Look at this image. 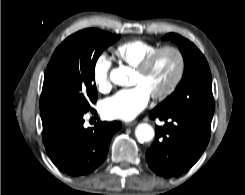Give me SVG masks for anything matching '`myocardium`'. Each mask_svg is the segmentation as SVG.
<instances>
[{
	"instance_id": "myocardium-1",
	"label": "myocardium",
	"mask_w": 245,
	"mask_h": 195,
	"mask_svg": "<svg viewBox=\"0 0 245 195\" xmlns=\"http://www.w3.org/2000/svg\"><path fill=\"white\" fill-rule=\"evenodd\" d=\"M164 52H172L177 59V69L175 75L168 86L160 92L152 94V98L154 99H164L171 95L175 89L178 87L179 83L182 80L185 71V58L183 52L175 46H163L155 50L152 54L147 56L136 68L135 71L139 74L146 73L157 58Z\"/></svg>"
}]
</instances>
